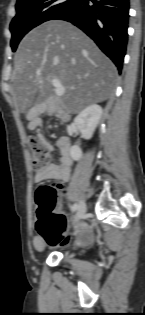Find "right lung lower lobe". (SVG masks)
Returning a JSON list of instances; mask_svg holds the SVG:
<instances>
[{
  "instance_id": "obj_1",
  "label": "right lung lower lobe",
  "mask_w": 145,
  "mask_h": 315,
  "mask_svg": "<svg viewBox=\"0 0 145 315\" xmlns=\"http://www.w3.org/2000/svg\"><path fill=\"white\" fill-rule=\"evenodd\" d=\"M54 19L82 29L121 71L128 41L129 0H74Z\"/></svg>"
}]
</instances>
